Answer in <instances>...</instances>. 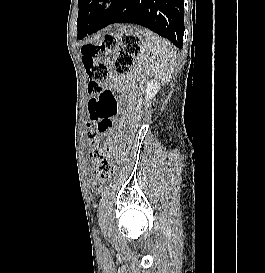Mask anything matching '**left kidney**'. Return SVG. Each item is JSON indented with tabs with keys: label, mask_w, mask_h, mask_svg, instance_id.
Masks as SVG:
<instances>
[{
	"label": "left kidney",
	"mask_w": 265,
	"mask_h": 273,
	"mask_svg": "<svg viewBox=\"0 0 265 273\" xmlns=\"http://www.w3.org/2000/svg\"><path fill=\"white\" fill-rule=\"evenodd\" d=\"M146 96L145 99L146 101H149V99H152L160 89L161 85L158 81L156 80H151L148 81L146 84Z\"/></svg>",
	"instance_id": "1"
}]
</instances>
